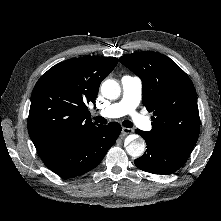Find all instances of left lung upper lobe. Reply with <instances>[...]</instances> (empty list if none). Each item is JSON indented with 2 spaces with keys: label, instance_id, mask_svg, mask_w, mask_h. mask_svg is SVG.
<instances>
[{
  "label": "left lung upper lobe",
  "instance_id": "obj_1",
  "mask_svg": "<svg viewBox=\"0 0 221 221\" xmlns=\"http://www.w3.org/2000/svg\"><path fill=\"white\" fill-rule=\"evenodd\" d=\"M119 60L142 80V103L154 115L152 130L144 131L146 138L192 151L200 118L188 75L169 57L153 51L128 54Z\"/></svg>",
  "mask_w": 221,
  "mask_h": 221
}]
</instances>
